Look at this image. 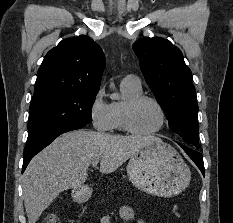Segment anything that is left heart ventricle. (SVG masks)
Segmentation results:
<instances>
[{"mask_svg": "<svg viewBox=\"0 0 233 223\" xmlns=\"http://www.w3.org/2000/svg\"><path fill=\"white\" fill-rule=\"evenodd\" d=\"M162 124L159 108L151 101L143 102L134 115V125L141 132H153Z\"/></svg>", "mask_w": 233, "mask_h": 223, "instance_id": "b2bd125f", "label": "left heart ventricle"}]
</instances>
